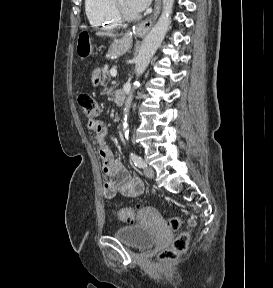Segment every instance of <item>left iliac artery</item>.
Here are the masks:
<instances>
[{
	"instance_id": "left-iliac-artery-1",
	"label": "left iliac artery",
	"mask_w": 273,
	"mask_h": 288,
	"mask_svg": "<svg viewBox=\"0 0 273 288\" xmlns=\"http://www.w3.org/2000/svg\"><path fill=\"white\" fill-rule=\"evenodd\" d=\"M130 156H131V159L134 162L135 166H137L139 168L146 167V163L144 162V160L140 156H138L134 153H131Z\"/></svg>"
}]
</instances>
